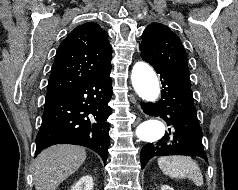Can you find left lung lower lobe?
Wrapping results in <instances>:
<instances>
[{"label": "left lung lower lobe", "mask_w": 238, "mask_h": 190, "mask_svg": "<svg viewBox=\"0 0 238 190\" xmlns=\"http://www.w3.org/2000/svg\"><path fill=\"white\" fill-rule=\"evenodd\" d=\"M148 63L160 74L164 89H162L159 102L143 103L142 108L150 116L162 117L171 128L162 139L146 144L142 148L140 155L142 168L150 158L156 155H195L207 161L189 72Z\"/></svg>", "instance_id": "left-lung-lower-lobe-1"}]
</instances>
